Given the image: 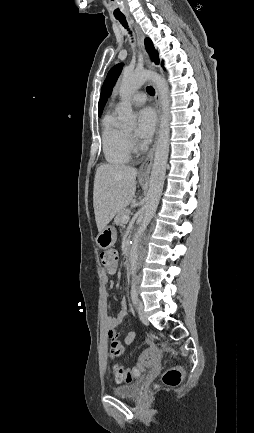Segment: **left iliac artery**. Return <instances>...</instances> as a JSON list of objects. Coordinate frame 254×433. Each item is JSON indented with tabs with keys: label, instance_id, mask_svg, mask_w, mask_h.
I'll list each match as a JSON object with an SVG mask.
<instances>
[{
	"label": "left iliac artery",
	"instance_id": "obj_1",
	"mask_svg": "<svg viewBox=\"0 0 254 433\" xmlns=\"http://www.w3.org/2000/svg\"><path fill=\"white\" fill-rule=\"evenodd\" d=\"M137 297H138V295H137V291H136V282L133 281L132 286H131V299H132V302L134 304H136V302H137Z\"/></svg>",
	"mask_w": 254,
	"mask_h": 433
}]
</instances>
